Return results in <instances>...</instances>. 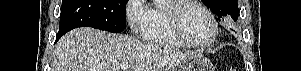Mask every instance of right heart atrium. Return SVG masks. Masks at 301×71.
<instances>
[{"instance_id":"right-heart-atrium-1","label":"right heart atrium","mask_w":301,"mask_h":71,"mask_svg":"<svg viewBox=\"0 0 301 71\" xmlns=\"http://www.w3.org/2000/svg\"><path fill=\"white\" fill-rule=\"evenodd\" d=\"M150 8L144 0H130L126 6V19L132 31L139 33L143 30L148 17Z\"/></svg>"}]
</instances>
